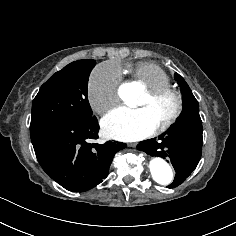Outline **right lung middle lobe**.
I'll return each instance as SVG.
<instances>
[{"label":"right lung middle lobe","mask_w":236,"mask_h":236,"mask_svg":"<svg viewBox=\"0 0 236 236\" xmlns=\"http://www.w3.org/2000/svg\"><path fill=\"white\" fill-rule=\"evenodd\" d=\"M95 64L92 59L78 60L53 74L33 100L30 126L59 119L92 117L87 88Z\"/></svg>","instance_id":"1"}]
</instances>
